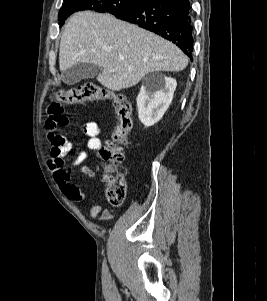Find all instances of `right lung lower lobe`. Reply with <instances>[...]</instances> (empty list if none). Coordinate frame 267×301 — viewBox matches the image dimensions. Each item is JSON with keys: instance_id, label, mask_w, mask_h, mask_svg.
<instances>
[{"instance_id": "98d812e1", "label": "right lung lower lobe", "mask_w": 267, "mask_h": 301, "mask_svg": "<svg viewBox=\"0 0 267 301\" xmlns=\"http://www.w3.org/2000/svg\"><path fill=\"white\" fill-rule=\"evenodd\" d=\"M115 16L173 42L192 60L193 27L189 0H144Z\"/></svg>"}]
</instances>
